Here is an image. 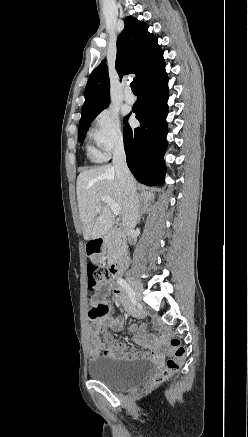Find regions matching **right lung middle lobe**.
I'll return each mask as SVG.
<instances>
[{"label":"right lung middle lobe","mask_w":248,"mask_h":437,"mask_svg":"<svg viewBox=\"0 0 248 437\" xmlns=\"http://www.w3.org/2000/svg\"><path fill=\"white\" fill-rule=\"evenodd\" d=\"M98 115V114H97ZM97 115H93V116H89L83 120L80 121L79 123V129H78V141L82 142L86 136L87 130L91 124V122L94 120V118ZM127 117L124 120V123L126 122Z\"/></svg>","instance_id":"obj_1"}]
</instances>
